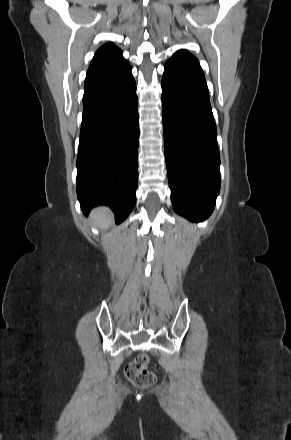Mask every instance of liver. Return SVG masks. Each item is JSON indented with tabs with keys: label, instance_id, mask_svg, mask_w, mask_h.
<instances>
[{
	"label": "liver",
	"instance_id": "6515ba94",
	"mask_svg": "<svg viewBox=\"0 0 291 440\" xmlns=\"http://www.w3.org/2000/svg\"><path fill=\"white\" fill-rule=\"evenodd\" d=\"M92 219L100 229H107L112 224L111 212L105 207L97 208L92 213Z\"/></svg>",
	"mask_w": 291,
	"mask_h": 440
}]
</instances>
